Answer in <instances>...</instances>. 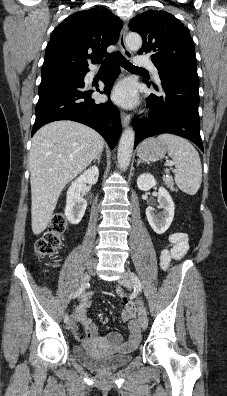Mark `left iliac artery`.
I'll return each instance as SVG.
<instances>
[{"mask_svg": "<svg viewBox=\"0 0 227 396\" xmlns=\"http://www.w3.org/2000/svg\"><path fill=\"white\" fill-rule=\"evenodd\" d=\"M129 275L134 282L135 289L140 292L141 291V283L139 281V278L133 272H129Z\"/></svg>", "mask_w": 227, "mask_h": 396, "instance_id": "left-iliac-artery-1", "label": "left iliac artery"}]
</instances>
